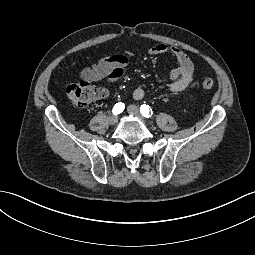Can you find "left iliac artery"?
<instances>
[{"mask_svg": "<svg viewBox=\"0 0 255 255\" xmlns=\"http://www.w3.org/2000/svg\"><path fill=\"white\" fill-rule=\"evenodd\" d=\"M140 112H141L142 116H144L146 118H150L152 116V110L149 107V105L142 104L140 106Z\"/></svg>", "mask_w": 255, "mask_h": 255, "instance_id": "44dca946", "label": "left iliac artery"}]
</instances>
